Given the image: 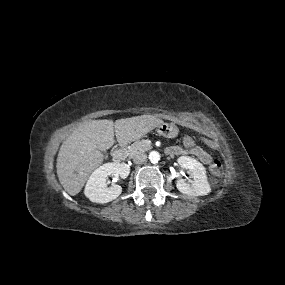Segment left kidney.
I'll return each instance as SVG.
<instances>
[{
	"label": "left kidney",
	"instance_id": "5707ae66",
	"mask_svg": "<svg viewBox=\"0 0 285 285\" xmlns=\"http://www.w3.org/2000/svg\"><path fill=\"white\" fill-rule=\"evenodd\" d=\"M178 165L182 169L190 171L193 180L190 183L179 178L176 183L177 189L190 196H204L210 192V185L207 180L205 167L197 160L189 156H181L177 159Z\"/></svg>",
	"mask_w": 285,
	"mask_h": 285
}]
</instances>
